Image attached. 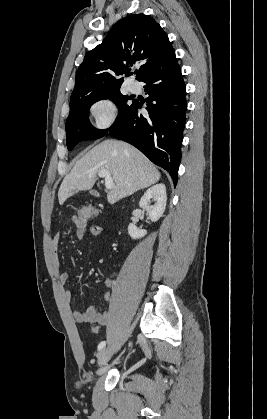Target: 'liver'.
Segmentation results:
<instances>
[{
    "mask_svg": "<svg viewBox=\"0 0 267 419\" xmlns=\"http://www.w3.org/2000/svg\"><path fill=\"white\" fill-rule=\"evenodd\" d=\"M100 170H107L115 182L107 195L111 204L147 188L160 179V172L138 149L117 140H105L94 146L76 162L59 188V204L72 194L89 190Z\"/></svg>",
    "mask_w": 267,
    "mask_h": 419,
    "instance_id": "6515ba94",
    "label": "liver"
}]
</instances>
